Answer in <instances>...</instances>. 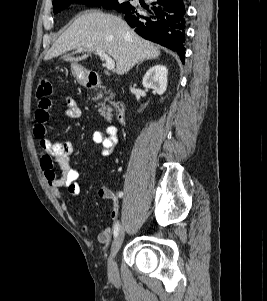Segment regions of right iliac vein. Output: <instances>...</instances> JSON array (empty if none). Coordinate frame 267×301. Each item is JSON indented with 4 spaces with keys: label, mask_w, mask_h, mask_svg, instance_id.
Masks as SVG:
<instances>
[{
    "label": "right iliac vein",
    "mask_w": 267,
    "mask_h": 301,
    "mask_svg": "<svg viewBox=\"0 0 267 301\" xmlns=\"http://www.w3.org/2000/svg\"><path fill=\"white\" fill-rule=\"evenodd\" d=\"M124 237H125V230L124 227L121 226L119 233L112 244L111 253L108 259V275L113 280L119 279V272H118L117 263L115 261V257L123 244Z\"/></svg>",
    "instance_id": "1"
}]
</instances>
